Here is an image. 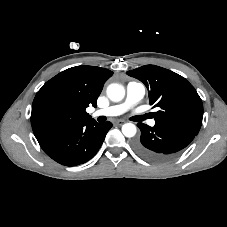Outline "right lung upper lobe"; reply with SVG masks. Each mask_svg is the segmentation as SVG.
<instances>
[{"mask_svg":"<svg viewBox=\"0 0 227 227\" xmlns=\"http://www.w3.org/2000/svg\"><path fill=\"white\" fill-rule=\"evenodd\" d=\"M112 71L94 66L66 69L47 81L37 92L31 113V124L37 140L61 128L93 120L86 112L89 105L97 106V98ZM48 107L58 113L46 116Z\"/></svg>","mask_w":227,"mask_h":227,"instance_id":"right-lung-upper-lobe-1","label":"right lung upper lobe"}]
</instances>
